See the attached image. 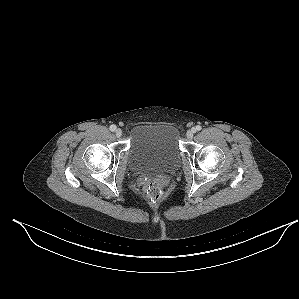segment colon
Listing matches in <instances>:
<instances>
[{
  "label": "colon",
  "mask_w": 299,
  "mask_h": 299,
  "mask_svg": "<svg viewBox=\"0 0 299 299\" xmlns=\"http://www.w3.org/2000/svg\"><path fill=\"white\" fill-rule=\"evenodd\" d=\"M163 186L156 181H152L147 185V195L152 202L158 201L162 196Z\"/></svg>",
  "instance_id": "obj_1"
}]
</instances>
